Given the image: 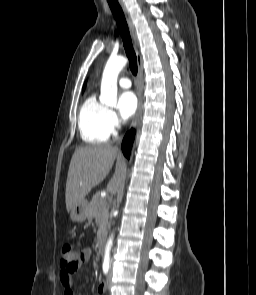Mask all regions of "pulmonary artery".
Returning a JSON list of instances; mask_svg holds the SVG:
<instances>
[{
  "label": "pulmonary artery",
  "instance_id": "1",
  "mask_svg": "<svg viewBox=\"0 0 256 295\" xmlns=\"http://www.w3.org/2000/svg\"><path fill=\"white\" fill-rule=\"evenodd\" d=\"M119 85L124 89H129L132 84L128 77H121L119 79Z\"/></svg>",
  "mask_w": 256,
  "mask_h": 295
}]
</instances>
